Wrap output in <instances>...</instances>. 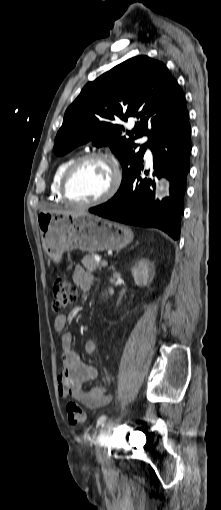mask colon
Here are the masks:
<instances>
[{
	"instance_id": "5ec220e1",
	"label": "colon",
	"mask_w": 221,
	"mask_h": 510,
	"mask_svg": "<svg viewBox=\"0 0 221 510\" xmlns=\"http://www.w3.org/2000/svg\"><path fill=\"white\" fill-rule=\"evenodd\" d=\"M78 297L77 288L68 278H57L53 284L52 309L60 313L69 305L74 303ZM68 420L73 425H82L86 421V414L83 408L75 401L69 400L66 403Z\"/></svg>"
}]
</instances>
